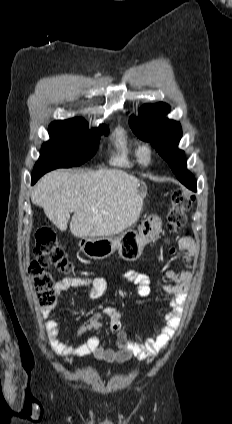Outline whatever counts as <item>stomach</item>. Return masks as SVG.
Segmentation results:
<instances>
[{"label":"stomach","mask_w":232,"mask_h":424,"mask_svg":"<svg viewBox=\"0 0 232 424\" xmlns=\"http://www.w3.org/2000/svg\"><path fill=\"white\" fill-rule=\"evenodd\" d=\"M161 225L159 219L147 220L142 223L138 232L127 230L116 237H86L80 240L79 246L91 259H105L118 250L123 259L136 260L144 246L158 238Z\"/></svg>","instance_id":"stomach-1"}]
</instances>
